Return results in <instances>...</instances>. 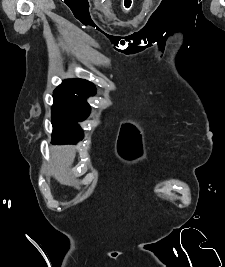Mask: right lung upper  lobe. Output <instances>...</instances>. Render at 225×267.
Masks as SVG:
<instances>
[{"label": "right lung upper lobe", "instance_id": "cb5924a9", "mask_svg": "<svg viewBox=\"0 0 225 267\" xmlns=\"http://www.w3.org/2000/svg\"><path fill=\"white\" fill-rule=\"evenodd\" d=\"M59 87L77 92L84 97L92 96L96 93L95 86L91 82L82 79L65 80Z\"/></svg>", "mask_w": 225, "mask_h": 267}]
</instances>
